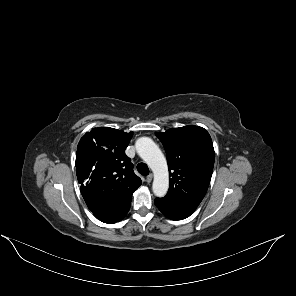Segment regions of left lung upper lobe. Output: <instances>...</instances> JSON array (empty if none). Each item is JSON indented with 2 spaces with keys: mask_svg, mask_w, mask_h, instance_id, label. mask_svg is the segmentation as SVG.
Returning <instances> with one entry per match:
<instances>
[{
  "mask_svg": "<svg viewBox=\"0 0 296 296\" xmlns=\"http://www.w3.org/2000/svg\"><path fill=\"white\" fill-rule=\"evenodd\" d=\"M164 145L170 187L162 203L197 208L210 184L215 153L209 133L202 127L184 126L156 133Z\"/></svg>",
  "mask_w": 296,
  "mask_h": 296,
  "instance_id": "5c2ea615",
  "label": "left lung upper lobe"
}]
</instances>
